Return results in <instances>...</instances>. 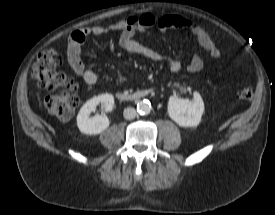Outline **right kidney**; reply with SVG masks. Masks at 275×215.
<instances>
[{"label":"right kidney","instance_id":"ca27d5eb","mask_svg":"<svg viewBox=\"0 0 275 215\" xmlns=\"http://www.w3.org/2000/svg\"><path fill=\"white\" fill-rule=\"evenodd\" d=\"M101 104L106 112L113 109L114 97L111 94H101L88 100L77 115V126L84 134L96 135L109 127V119L105 114L90 117L96 107Z\"/></svg>","mask_w":275,"mask_h":215}]
</instances>
